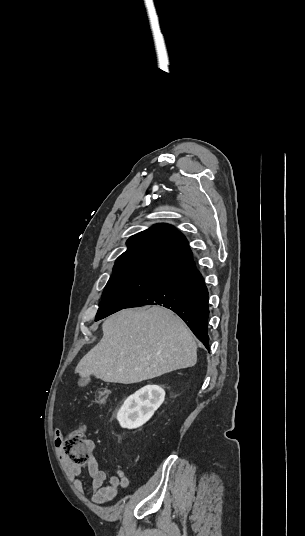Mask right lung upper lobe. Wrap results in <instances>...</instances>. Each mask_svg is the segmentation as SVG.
Wrapping results in <instances>:
<instances>
[{
	"label": "right lung upper lobe",
	"instance_id": "obj_1",
	"mask_svg": "<svg viewBox=\"0 0 305 536\" xmlns=\"http://www.w3.org/2000/svg\"><path fill=\"white\" fill-rule=\"evenodd\" d=\"M127 246L117 258L111 277H166L195 264L185 236L168 224H156L133 235Z\"/></svg>",
	"mask_w": 305,
	"mask_h": 536
}]
</instances>
